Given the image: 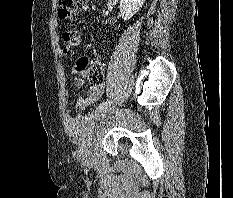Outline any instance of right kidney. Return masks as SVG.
<instances>
[{
	"instance_id": "obj_1",
	"label": "right kidney",
	"mask_w": 233,
	"mask_h": 198,
	"mask_svg": "<svg viewBox=\"0 0 233 198\" xmlns=\"http://www.w3.org/2000/svg\"><path fill=\"white\" fill-rule=\"evenodd\" d=\"M145 0H120V14L124 21L129 20L143 6Z\"/></svg>"
}]
</instances>
